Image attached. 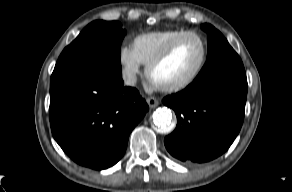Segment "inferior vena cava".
<instances>
[{
    "label": "inferior vena cava",
    "mask_w": 292,
    "mask_h": 192,
    "mask_svg": "<svg viewBox=\"0 0 292 192\" xmlns=\"http://www.w3.org/2000/svg\"><path fill=\"white\" fill-rule=\"evenodd\" d=\"M124 83L128 86H134L136 84L137 78L133 73H124L123 74Z\"/></svg>",
    "instance_id": "1"
}]
</instances>
